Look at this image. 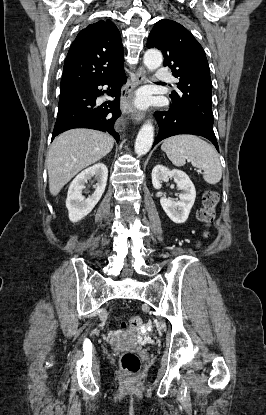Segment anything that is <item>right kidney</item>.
I'll list each match as a JSON object with an SVG mask.
<instances>
[{
  "instance_id": "right-kidney-1",
  "label": "right kidney",
  "mask_w": 266,
  "mask_h": 415,
  "mask_svg": "<svg viewBox=\"0 0 266 415\" xmlns=\"http://www.w3.org/2000/svg\"><path fill=\"white\" fill-rule=\"evenodd\" d=\"M91 178L97 181L94 186L95 191L85 198L82 191L85 189V183ZM107 178V167L103 163H98L82 171L71 182L66 199V207L71 222L80 221L92 211L104 193Z\"/></svg>"
}]
</instances>
